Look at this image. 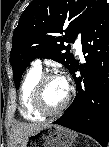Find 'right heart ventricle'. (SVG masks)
Returning <instances> with one entry per match:
<instances>
[{"instance_id":"right-heart-ventricle-1","label":"right heart ventricle","mask_w":109,"mask_h":147,"mask_svg":"<svg viewBox=\"0 0 109 147\" xmlns=\"http://www.w3.org/2000/svg\"><path fill=\"white\" fill-rule=\"evenodd\" d=\"M41 75V70L31 68L25 75L20 88V113L26 120L31 122H38L43 118V115L35 112L30 105L33 88Z\"/></svg>"}]
</instances>
